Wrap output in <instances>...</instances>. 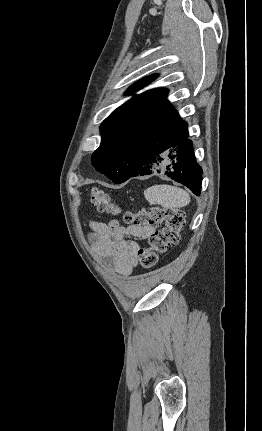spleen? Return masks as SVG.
I'll use <instances>...</instances> for the list:
<instances>
[{"label":"spleen","mask_w":262,"mask_h":431,"mask_svg":"<svg viewBox=\"0 0 262 431\" xmlns=\"http://www.w3.org/2000/svg\"><path fill=\"white\" fill-rule=\"evenodd\" d=\"M144 196L150 204H159L164 208H182L190 203V196L185 190L167 184L147 188Z\"/></svg>","instance_id":"3e777b00"}]
</instances>
